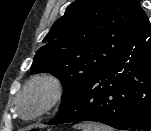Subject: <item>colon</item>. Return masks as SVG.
Returning <instances> with one entry per match:
<instances>
[{"label": "colon", "mask_w": 151, "mask_h": 131, "mask_svg": "<svg viewBox=\"0 0 151 131\" xmlns=\"http://www.w3.org/2000/svg\"><path fill=\"white\" fill-rule=\"evenodd\" d=\"M25 131H41V129L37 127L27 128Z\"/></svg>", "instance_id": "5ec220e1"}]
</instances>
